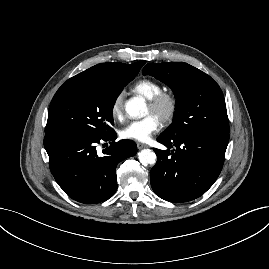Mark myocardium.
<instances>
[{"label":"myocardium","instance_id":"myocardium-1","mask_svg":"<svg viewBox=\"0 0 269 269\" xmlns=\"http://www.w3.org/2000/svg\"><path fill=\"white\" fill-rule=\"evenodd\" d=\"M148 107L164 125H168L177 114L178 98L172 92H160L148 101Z\"/></svg>","mask_w":269,"mask_h":269}]
</instances>
